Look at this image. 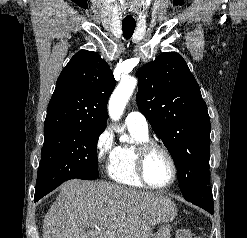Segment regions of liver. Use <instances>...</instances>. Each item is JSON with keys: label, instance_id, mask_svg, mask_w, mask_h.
<instances>
[{"label": "liver", "instance_id": "liver-1", "mask_svg": "<svg viewBox=\"0 0 247 238\" xmlns=\"http://www.w3.org/2000/svg\"><path fill=\"white\" fill-rule=\"evenodd\" d=\"M176 214L175 203L158 193L73 179L60 186L42 238H150L156 224Z\"/></svg>", "mask_w": 247, "mask_h": 238}]
</instances>
